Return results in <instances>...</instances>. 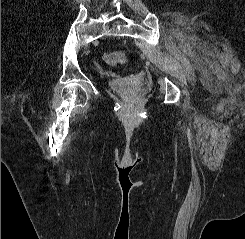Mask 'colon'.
Segmentation results:
<instances>
[{
	"mask_svg": "<svg viewBox=\"0 0 245 239\" xmlns=\"http://www.w3.org/2000/svg\"><path fill=\"white\" fill-rule=\"evenodd\" d=\"M103 60L109 65H116L126 61V55L123 52L115 51L104 54Z\"/></svg>",
	"mask_w": 245,
	"mask_h": 239,
	"instance_id": "colon-1",
	"label": "colon"
}]
</instances>
